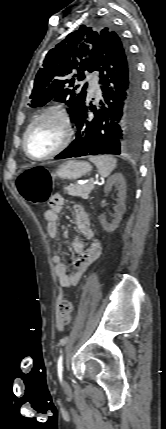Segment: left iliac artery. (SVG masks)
Here are the masks:
<instances>
[{
    "label": "left iliac artery",
    "mask_w": 166,
    "mask_h": 429,
    "mask_svg": "<svg viewBox=\"0 0 166 429\" xmlns=\"http://www.w3.org/2000/svg\"><path fill=\"white\" fill-rule=\"evenodd\" d=\"M57 370L59 378L62 379V371H63V354H61L57 361Z\"/></svg>",
    "instance_id": "44dca946"
}]
</instances>
